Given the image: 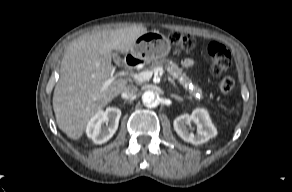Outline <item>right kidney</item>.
<instances>
[{
  "instance_id": "ca27d5eb",
  "label": "right kidney",
  "mask_w": 292,
  "mask_h": 192,
  "mask_svg": "<svg viewBox=\"0 0 292 192\" xmlns=\"http://www.w3.org/2000/svg\"><path fill=\"white\" fill-rule=\"evenodd\" d=\"M120 117L121 110L114 107H109L106 111L97 112L88 122L87 136L95 144L107 142L116 132Z\"/></svg>"
}]
</instances>
